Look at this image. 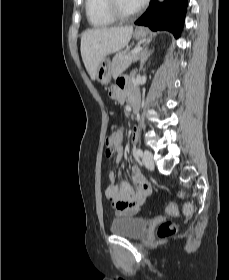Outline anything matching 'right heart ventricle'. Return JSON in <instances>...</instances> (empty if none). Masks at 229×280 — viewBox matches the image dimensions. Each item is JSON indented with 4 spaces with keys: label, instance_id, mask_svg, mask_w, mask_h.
Returning a JSON list of instances; mask_svg holds the SVG:
<instances>
[{
    "label": "right heart ventricle",
    "instance_id": "right-heart-ventricle-1",
    "mask_svg": "<svg viewBox=\"0 0 229 280\" xmlns=\"http://www.w3.org/2000/svg\"><path fill=\"white\" fill-rule=\"evenodd\" d=\"M106 0H85V15L87 22L94 28H108L115 20L107 13Z\"/></svg>",
    "mask_w": 229,
    "mask_h": 280
}]
</instances>
